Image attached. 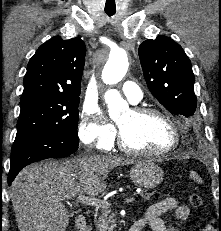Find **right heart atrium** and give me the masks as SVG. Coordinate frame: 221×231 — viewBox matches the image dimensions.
Segmentation results:
<instances>
[{
	"instance_id": "obj_1",
	"label": "right heart atrium",
	"mask_w": 221,
	"mask_h": 231,
	"mask_svg": "<svg viewBox=\"0 0 221 231\" xmlns=\"http://www.w3.org/2000/svg\"><path fill=\"white\" fill-rule=\"evenodd\" d=\"M80 140L91 147L106 149L114 141L116 131L109 124L102 109L93 102L84 104L78 127Z\"/></svg>"
}]
</instances>
